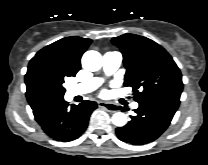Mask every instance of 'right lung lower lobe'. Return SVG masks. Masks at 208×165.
<instances>
[{"label": "right lung lower lobe", "instance_id": "1", "mask_svg": "<svg viewBox=\"0 0 208 165\" xmlns=\"http://www.w3.org/2000/svg\"><path fill=\"white\" fill-rule=\"evenodd\" d=\"M96 108L97 104L93 101H84L77 106L61 99L48 103L34 113V117L52 139L67 142L81 136Z\"/></svg>", "mask_w": 208, "mask_h": 165}]
</instances>
